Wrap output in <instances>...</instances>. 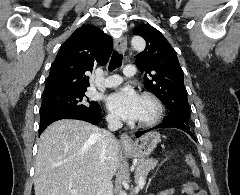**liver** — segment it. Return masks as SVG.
Masks as SVG:
<instances>
[{"label":"liver","instance_id":"liver-1","mask_svg":"<svg viewBox=\"0 0 240 195\" xmlns=\"http://www.w3.org/2000/svg\"><path fill=\"white\" fill-rule=\"evenodd\" d=\"M98 131L80 119H59L44 129L36 155L35 195H96L98 177H113L122 151L119 141L108 145L100 167Z\"/></svg>","mask_w":240,"mask_h":195}]
</instances>
